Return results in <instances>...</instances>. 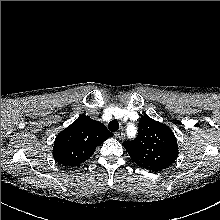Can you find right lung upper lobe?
<instances>
[{"instance_id":"obj_1","label":"right lung upper lobe","mask_w":220,"mask_h":220,"mask_svg":"<svg viewBox=\"0 0 220 220\" xmlns=\"http://www.w3.org/2000/svg\"><path fill=\"white\" fill-rule=\"evenodd\" d=\"M112 136L102 123L86 115L79 116L57 135L53 157L62 165L78 166L92 156L97 146Z\"/></svg>"}]
</instances>
